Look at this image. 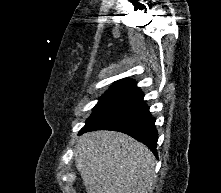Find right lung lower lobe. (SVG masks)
<instances>
[{
  "instance_id": "obj_1",
  "label": "right lung lower lobe",
  "mask_w": 221,
  "mask_h": 193,
  "mask_svg": "<svg viewBox=\"0 0 221 193\" xmlns=\"http://www.w3.org/2000/svg\"><path fill=\"white\" fill-rule=\"evenodd\" d=\"M143 97L141 94L121 109L98 121L86 124L81 133L100 129L123 132L143 142L157 155L158 133L155 118L151 116L149 106L145 104Z\"/></svg>"
}]
</instances>
